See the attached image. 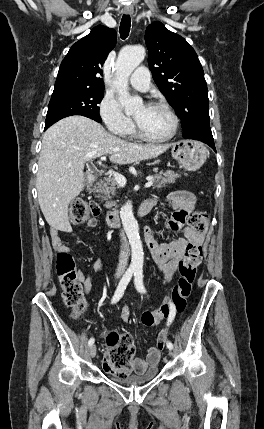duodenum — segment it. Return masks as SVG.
I'll list each match as a JSON object with an SVG mask.
<instances>
[{
	"label": "duodenum",
	"mask_w": 264,
	"mask_h": 429,
	"mask_svg": "<svg viewBox=\"0 0 264 429\" xmlns=\"http://www.w3.org/2000/svg\"><path fill=\"white\" fill-rule=\"evenodd\" d=\"M97 180L95 175H90L88 177L89 183H94ZM153 205L150 202H144L138 208V215L143 216L146 215L151 209ZM106 223L110 227H116L120 224V215L118 211H110L106 215Z\"/></svg>",
	"instance_id": "1"
}]
</instances>
